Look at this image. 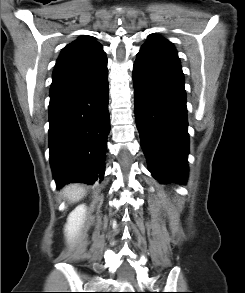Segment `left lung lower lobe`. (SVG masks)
I'll return each mask as SVG.
<instances>
[{
	"mask_svg": "<svg viewBox=\"0 0 245 293\" xmlns=\"http://www.w3.org/2000/svg\"><path fill=\"white\" fill-rule=\"evenodd\" d=\"M133 85L136 123L149 171L162 184H184L189 135L180 62L141 48L133 67Z\"/></svg>",
	"mask_w": 245,
	"mask_h": 293,
	"instance_id": "obj_1",
	"label": "left lung lower lobe"
}]
</instances>
